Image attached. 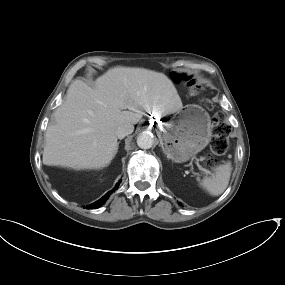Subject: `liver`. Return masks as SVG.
Here are the masks:
<instances>
[{
  "label": "liver",
  "instance_id": "6515ba94",
  "mask_svg": "<svg viewBox=\"0 0 285 285\" xmlns=\"http://www.w3.org/2000/svg\"><path fill=\"white\" fill-rule=\"evenodd\" d=\"M182 108L171 80L152 70L115 67L96 79L95 88L75 80L47 127L43 164L106 167L116 154L119 126L137 124L144 112L168 115Z\"/></svg>",
  "mask_w": 285,
  "mask_h": 285
}]
</instances>
